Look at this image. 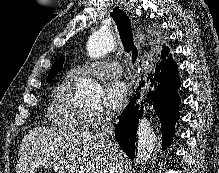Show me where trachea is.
<instances>
[{
    "mask_svg": "<svg viewBox=\"0 0 219 173\" xmlns=\"http://www.w3.org/2000/svg\"><path fill=\"white\" fill-rule=\"evenodd\" d=\"M111 17L117 25L120 39L127 53H132V62L135 63L138 51L133 41L132 26L129 17L118 7H115L111 13Z\"/></svg>",
    "mask_w": 219,
    "mask_h": 173,
    "instance_id": "3493384b",
    "label": "trachea"
}]
</instances>
